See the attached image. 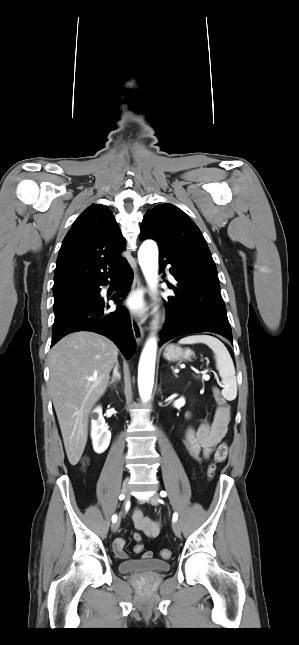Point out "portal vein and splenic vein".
I'll return each mask as SVG.
<instances>
[{
  "instance_id": "1",
  "label": "portal vein and splenic vein",
  "mask_w": 299,
  "mask_h": 645,
  "mask_svg": "<svg viewBox=\"0 0 299 645\" xmlns=\"http://www.w3.org/2000/svg\"><path fill=\"white\" fill-rule=\"evenodd\" d=\"M205 379H206V380H208V379H209V376H207V375H206V376H205Z\"/></svg>"
}]
</instances>
